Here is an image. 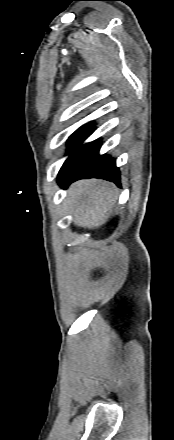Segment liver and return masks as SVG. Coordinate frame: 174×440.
I'll return each instance as SVG.
<instances>
[{
    "instance_id": "liver-1",
    "label": "liver",
    "mask_w": 174,
    "mask_h": 440,
    "mask_svg": "<svg viewBox=\"0 0 174 440\" xmlns=\"http://www.w3.org/2000/svg\"><path fill=\"white\" fill-rule=\"evenodd\" d=\"M118 199L114 184L87 179L73 183L67 193V208L78 227L95 229L105 224Z\"/></svg>"
}]
</instances>
